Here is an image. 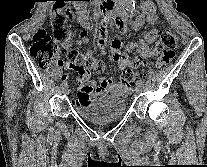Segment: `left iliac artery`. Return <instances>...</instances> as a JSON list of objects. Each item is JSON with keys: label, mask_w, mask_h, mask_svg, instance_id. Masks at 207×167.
Returning a JSON list of instances; mask_svg holds the SVG:
<instances>
[{"label": "left iliac artery", "mask_w": 207, "mask_h": 167, "mask_svg": "<svg viewBox=\"0 0 207 167\" xmlns=\"http://www.w3.org/2000/svg\"><path fill=\"white\" fill-rule=\"evenodd\" d=\"M143 80L142 79H139L138 81H137V84H140V85H143Z\"/></svg>", "instance_id": "1"}]
</instances>
